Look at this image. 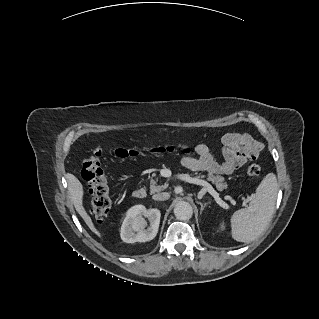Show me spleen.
Instances as JSON below:
<instances>
[{"label":"spleen","instance_id":"obj_1","mask_svg":"<svg viewBox=\"0 0 319 319\" xmlns=\"http://www.w3.org/2000/svg\"><path fill=\"white\" fill-rule=\"evenodd\" d=\"M279 185L274 173H268L256 188L246 208L231 216V235L238 242H251L268 226L277 199Z\"/></svg>","mask_w":319,"mask_h":319}]
</instances>
